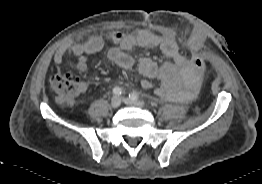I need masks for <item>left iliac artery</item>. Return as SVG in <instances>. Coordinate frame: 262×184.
Returning <instances> with one entry per match:
<instances>
[{
	"mask_svg": "<svg viewBox=\"0 0 262 184\" xmlns=\"http://www.w3.org/2000/svg\"><path fill=\"white\" fill-rule=\"evenodd\" d=\"M129 98H131L133 100H137L139 98V95L137 93H131V94H129Z\"/></svg>",
	"mask_w": 262,
	"mask_h": 184,
	"instance_id": "obj_1",
	"label": "left iliac artery"
}]
</instances>
